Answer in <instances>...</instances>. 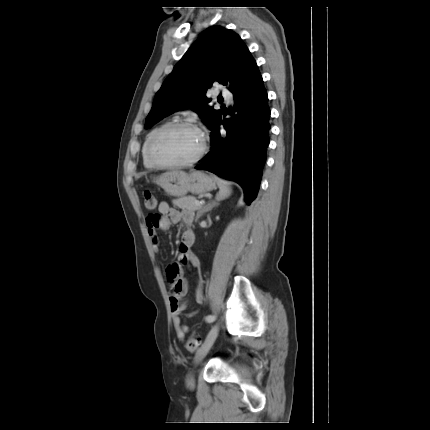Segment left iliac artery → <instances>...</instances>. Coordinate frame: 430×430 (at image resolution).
I'll return each instance as SVG.
<instances>
[{"label": "left iliac artery", "instance_id": "1", "mask_svg": "<svg viewBox=\"0 0 430 430\" xmlns=\"http://www.w3.org/2000/svg\"><path fill=\"white\" fill-rule=\"evenodd\" d=\"M205 320L207 322H214L216 320V316L215 315H208Z\"/></svg>", "mask_w": 430, "mask_h": 430}]
</instances>
